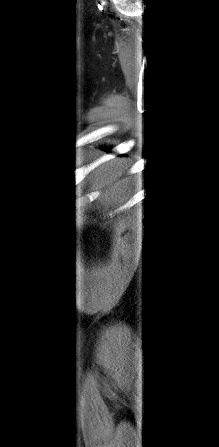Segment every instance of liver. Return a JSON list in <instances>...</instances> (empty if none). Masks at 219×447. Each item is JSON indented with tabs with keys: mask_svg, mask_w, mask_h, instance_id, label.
Returning a JSON list of instances; mask_svg holds the SVG:
<instances>
[{
	"mask_svg": "<svg viewBox=\"0 0 219 447\" xmlns=\"http://www.w3.org/2000/svg\"><path fill=\"white\" fill-rule=\"evenodd\" d=\"M130 163L111 160L100 165L89 176V182L100 191L99 201L108 209L131 196L134 178L129 176Z\"/></svg>",
	"mask_w": 219,
	"mask_h": 447,
	"instance_id": "6515ba94",
	"label": "liver"
}]
</instances>
